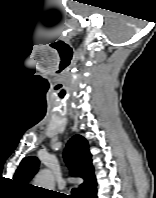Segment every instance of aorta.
<instances>
[{
    "mask_svg": "<svg viewBox=\"0 0 156 198\" xmlns=\"http://www.w3.org/2000/svg\"><path fill=\"white\" fill-rule=\"evenodd\" d=\"M35 186L51 190L54 186V175L49 169L42 170L34 180Z\"/></svg>",
    "mask_w": 156,
    "mask_h": 198,
    "instance_id": "aorta-1",
    "label": "aorta"
}]
</instances>
